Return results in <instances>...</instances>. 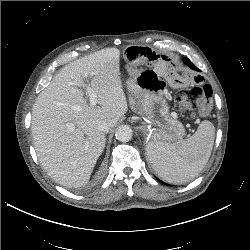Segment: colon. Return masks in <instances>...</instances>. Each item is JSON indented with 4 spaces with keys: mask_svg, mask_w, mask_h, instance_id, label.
Returning a JSON list of instances; mask_svg holds the SVG:
<instances>
[{
    "mask_svg": "<svg viewBox=\"0 0 250 250\" xmlns=\"http://www.w3.org/2000/svg\"><path fill=\"white\" fill-rule=\"evenodd\" d=\"M176 101L183 111L205 117L212 109V88L209 85L192 87L181 91Z\"/></svg>",
    "mask_w": 250,
    "mask_h": 250,
    "instance_id": "colon-1",
    "label": "colon"
}]
</instances>
